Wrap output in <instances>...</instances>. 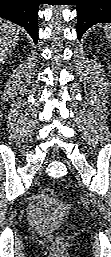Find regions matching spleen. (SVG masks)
<instances>
[{
	"instance_id": "3e777b00",
	"label": "spleen",
	"mask_w": 111,
	"mask_h": 257,
	"mask_svg": "<svg viewBox=\"0 0 111 257\" xmlns=\"http://www.w3.org/2000/svg\"><path fill=\"white\" fill-rule=\"evenodd\" d=\"M104 31H105L108 42L111 43V25H106L104 27Z\"/></svg>"
}]
</instances>
